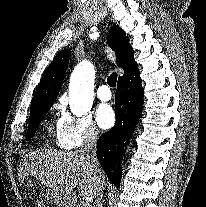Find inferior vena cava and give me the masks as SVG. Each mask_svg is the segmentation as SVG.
Instances as JSON below:
<instances>
[{"mask_svg": "<svg viewBox=\"0 0 206 207\" xmlns=\"http://www.w3.org/2000/svg\"><path fill=\"white\" fill-rule=\"evenodd\" d=\"M96 142H97V132L94 130H90L87 134L84 144L81 148V154L83 155L84 159L89 166L90 171L93 175V184L95 190L96 202L94 204H88L87 207H102L103 200H102V170L100 168V164L98 162L96 156Z\"/></svg>", "mask_w": 206, "mask_h": 207, "instance_id": "inferior-vena-cava-1", "label": "inferior vena cava"}]
</instances>
